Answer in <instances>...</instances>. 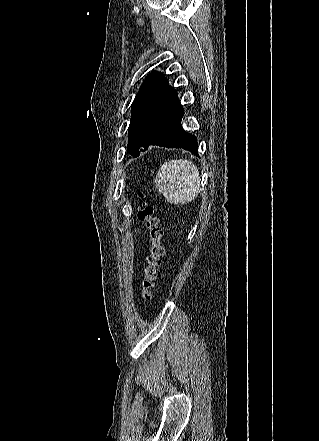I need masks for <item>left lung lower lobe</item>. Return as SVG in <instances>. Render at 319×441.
I'll list each match as a JSON object with an SVG mask.
<instances>
[{"mask_svg": "<svg viewBox=\"0 0 319 441\" xmlns=\"http://www.w3.org/2000/svg\"><path fill=\"white\" fill-rule=\"evenodd\" d=\"M184 115L181 107L157 130L152 137L150 145H158L167 148H182L198 156L197 138L185 132L181 126Z\"/></svg>", "mask_w": 319, "mask_h": 441, "instance_id": "0a47b994", "label": "left lung lower lobe"}]
</instances>
